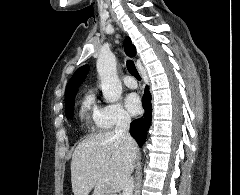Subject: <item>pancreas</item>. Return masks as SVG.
Instances as JSON below:
<instances>
[{
  "instance_id": "1",
  "label": "pancreas",
  "mask_w": 240,
  "mask_h": 195,
  "mask_svg": "<svg viewBox=\"0 0 240 195\" xmlns=\"http://www.w3.org/2000/svg\"><path fill=\"white\" fill-rule=\"evenodd\" d=\"M95 195H99V191H98V189H96V191H95Z\"/></svg>"
}]
</instances>
